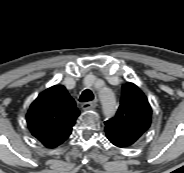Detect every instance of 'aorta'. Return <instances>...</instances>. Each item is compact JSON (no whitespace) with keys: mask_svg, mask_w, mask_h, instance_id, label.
<instances>
[{"mask_svg":"<svg viewBox=\"0 0 184 173\" xmlns=\"http://www.w3.org/2000/svg\"><path fill=\"white\" fill-rule=\"evenodd\" d=\"M102 104L103 114L110 118L114 116L117 110V101L114 93L110 89H102L99 93Z\"/></svg>","mask_w":184,"mask_h":173,"instance_id":"aorta-1","label":"aorta"}]
</instances>
